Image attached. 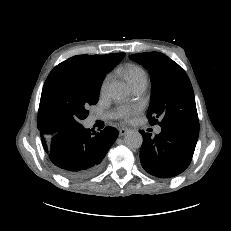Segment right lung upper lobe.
Instances as JSON below:
<instances>
[{"label":"right lung upper lobe","mask_w":231,"mask_h":231,"mask_svg":"<svg viewBox=\"0 0 231 231\" xmlns=\"http://www.w3.org/2000/svg\"><path fill=\"white\" fill-rule=\"evenodd\" d=\"M124 53H112L107 55H76L61 65L75 69L79 74H88L104 78L105 74L111 70L123 57Z\"/></svg>","instance_id":"cb5924a9"}]
</instances>
